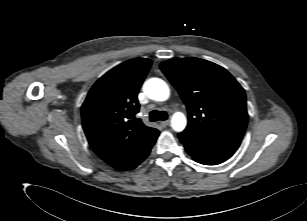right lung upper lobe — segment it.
Returning <instances> with one entry per match:
<instances>
[{"mask_svg":"<svg viewBox=\"0 0 307 221\" xmlns=\"http://www.w3.org/2000/svg\"><path fill=\"white\" fill-rule=\"evenodd\" d=\"M151 64L139 58L114 67L93 85L82 105L88 142L111 166L124 162L158 132L136 117L138 91Z\"/></svg>","mask_w":307,"mask_h":221,"instance_id":"cb5924a9","label":"right lung upper lobe"}]
</instances>
